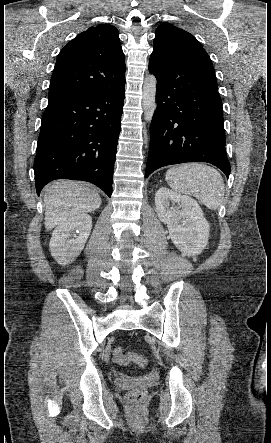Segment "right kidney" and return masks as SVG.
<instances>
[{
	"label": "right kidney",
	"instance_id": "obj_1",
	"mask_svg": "<svg viewBox=\"0 0 271 443\" xmlns=\"http://www.w3.org/2000/svg\"><path fill=\"white\" fill-rule=\"evenodd\" d=\"M92 229V218L86 212L66 218L55 227L50 239V251L58 263L67 265L81 253Z\"/></svg>",
	"mask_w": 271,
	"mask_h": 443
}]
</instances>
